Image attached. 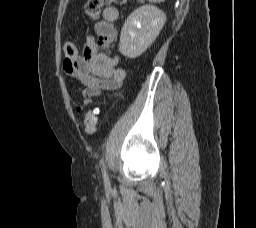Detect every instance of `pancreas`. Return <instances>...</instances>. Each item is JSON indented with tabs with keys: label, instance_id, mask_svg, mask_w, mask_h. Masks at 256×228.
I'll return each instance as SVG.
<instances>
[{
	"label": "pancreas",
	"instance_id": "1",
	"mask_svg": "<svg viewBox=\"0 0 256 228\" xmlns=\"http://www.w3.org/2000/svg\"><path fill=\"white\" fill-rule=\"evenodd\" d=\"M138 1V3H143L144 2V0H137Z\"/></svg>",
	"mask_w": 256,
	"mask_h": 228
}]
</instances>
